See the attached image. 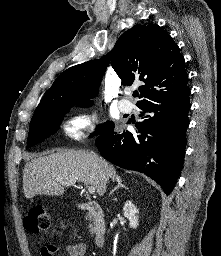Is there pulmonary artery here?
<instances>
[{"mask_svg": "<svg viewBox=\"0 0 221 256\" xmlns=\"http://www.w3.org/2000/svg\"><path fill=\"white\" fill-rule=\"evenodd\" d=\"M133 108L134 106L129 100L123 98L119 101V109L121 110V112L131 113L133 111Z\"/></svg>", "mask_w": 221, "mask_h": 256, "instance_id": "1", "label": "pulmonary artery"}]
</instances>
